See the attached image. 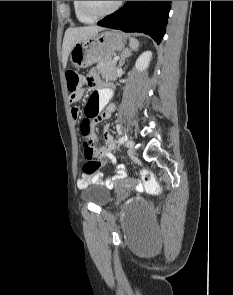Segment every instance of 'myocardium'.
Listing matches in <instances>:
<instances>
[{
	"label": "myocardium",
	"mask_w": 233,
	"mask_h": 295,
	"mask_svg": "<svg viewBox=\"0 0 233 295\" xmlns=\"http://www.w3.org/2000/svg\"><path fill=\"white\" fill-rule=\"evenodd\" d=\"M78 3H79L80 11L85 16L90 17L92 19H99V18L109 16V15L113 14L114 12H116L120 8V6L122 5L123 1H116V3L109 10L101 12V13H95V12L91 11L87 6L86 1H78Z\"/></svg>",
	"instance_id": "obj_1"
}]
</instances>
